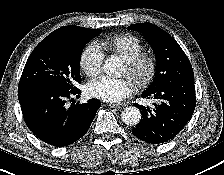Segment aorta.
Masks as SVG:
<instances>
[{"mask_svg": "<svg viewBox=\"0 0 224 175\" xmlns=\"http://www.w3.org/2000/svg\"><path fill=\"white\" fill-rule=\"evenodd\" d=\"M103 70L109 76L118 77L122 75L123 64L118 57L111 56L103 64ZM121 118L126 125H136L141 119V113L137 107L129 106L122 111Z\"/></svg>", "mask_w": 224, "mask_h": 175, "instance_id": "aorta-1", "label": "aorta"}]
</instances>
